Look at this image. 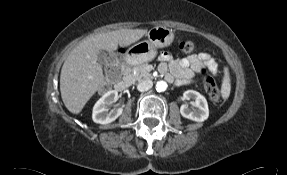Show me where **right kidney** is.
<instances>
[{"label": "right kidney", "instance_id": "ca27d5eb", "mask_svg": "<svg viewBox=\"0 0 287 175\" xmlns=\"http://www.w3.org/2000/svg\"><path fill=\"white\" fill-rule=\"evenodd\" d=\"M118 92L111 90L106 92L94 105L92 119L95 123L108 124L115 121L123 112V108H115L109 111L111 104L117 100Z\"/></svg>", "mask_w": 287, "mask_h": 175}]
</instances>
